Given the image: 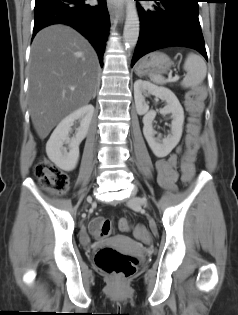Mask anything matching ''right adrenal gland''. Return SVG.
Returning a JSON list of instances; mask_svg holds the SVG:
<instances>
[{
    "label": "right adrenal gland",
    "instance_id": "obj_1",
    "mask_svg": "<svg viewBox=\"0 0 238 315\" xmlns=\"http://www.w3.org/2000/svg\"><path fill=\"white\" fill-rule=\"evenodd\" d=\"M95 96H96V90H95V92H94V94H93V98H95Z\"/></svg>",
    "mask_w": 238,
    "mask_h": 315
}]
</instances>
